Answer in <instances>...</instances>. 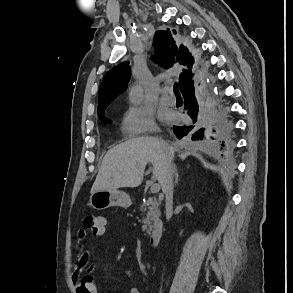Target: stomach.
<instances>
[{"instance_id": "obj_1", "label": "stomach", "mask_w": 293, "mask_h": 293, "mask_svg": "<svg viewBox=\"0 0 293 293\" xmlns=\"http://www.w3.org/2000/svg\"><path fill=\"white\" fill-rule=\"evenodd\" d=\"M130 196L123 191H96L90 196V205L96 210H104L112 206L127 208L131 205Z\"/></svg>"}]
</instances>
